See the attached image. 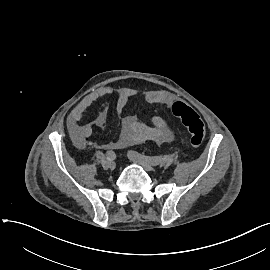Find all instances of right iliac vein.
<instances>
[{
  "label": "right iliac vein",
  "instance_id": "1",
  "mask_svg": "<svg viewBox=\"0 0 270 270\" xmlns=\"http://www.w3.org/2000/svg\"><path fill=\"white\" fill-rule=\"evenodd\" d=\"M108 167H109L111 170L115 169V168H116V162H114V161H109V162H108Z\"/></svg>",
  "mask_w": 270,
  "mask_h": 270
}]
</instances>
